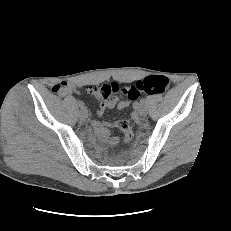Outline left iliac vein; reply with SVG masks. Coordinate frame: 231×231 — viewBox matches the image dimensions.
Segmentation results:
<instances>
[{
    "instance_id": "obj_1",
    "label": "left iliac vein",
    "mask_w": 231,
    "mask_h": 231,
    "mask_svg": "<svg viewBox=\"0 0 231 231\" xmlns=\"http://www.w3.org/2000/svg\"><path fill=\"white\" fill-rule=\"evenodd\" d=\"M138 112H139V114L141 116H146L147 115V109H146V107L144 105H141V107L139 108Z\"/></svg>"
}]
</instances>
